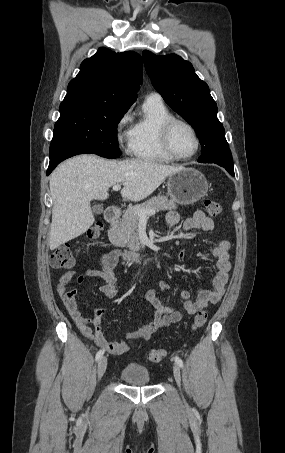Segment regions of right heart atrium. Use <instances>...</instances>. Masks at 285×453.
Here are the masks:
<instances>
[{
    "label": "right heart atrium",
    "instance_id": "d8ad5b80",
    "mask_svg": "<svg viewBox=\"0 0 285 453\" xmlns=\"http://www.w3.org/2000/svg\"><path fill=\"white\" fill-rule=\"evenodd\" d=\"M130 121V112H124L118 119L115 127L116 139L119 143L123 144L129 142L130 129L128 127Z\"/></svg>",
    "mask_w": 285,
    "mask_h": 453
}]
</instances>
